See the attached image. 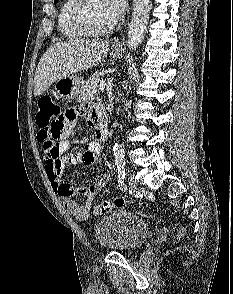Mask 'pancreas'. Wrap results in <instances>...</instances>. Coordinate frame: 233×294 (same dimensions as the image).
I'll return each mask as SVG.
<instances>
[{
  "mask_svg": "<svg viewBox=\"0 0 233 294\" xmlns=\"http://www.w3.org/2000/svg\"><path fill=\"white\" fill-rule=\"evenodd\" d=\"M99 75H92L86 82L82 84L78 100L85 101L94 99L98 92Z\"/></svg>",
  "mask_w": 233,
  "mask_h": 294,
  "instance_id": "cf45deb5",
  "label": "pancreas"
}]
</instances>
